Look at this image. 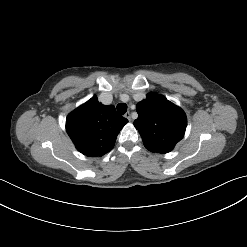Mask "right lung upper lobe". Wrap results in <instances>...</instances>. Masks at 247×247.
<instances>
[{"mask_svg":"<svg viewBox=\"0 0 247 247\" xmlns=\"http://www.w3.org/2000/svg\"><path fill=\"white\" fill-rule=\"evenodd\" d=\"M127 122L113 105H103L97 97H92L68 115L66 131L79 152L98 157L114 147L117 135Z\"/></svg>","mask_w":247,"mask_h":247,"instance_id":"right-lung-upper-lobe-1","label":"right lung upper lobe"}]
</instances>
